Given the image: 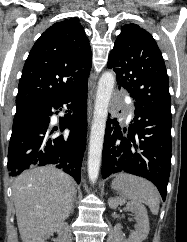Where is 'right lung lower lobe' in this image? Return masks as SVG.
I'll use <instances>...</instances> for the list:
<instances>
[{
  "mask_svg": "<svg viewBox=\"0 0 187 242\" xmlns=\"http://www.w3.org/2000/svg\"><path fill=\"white\" fill-rule=\"evenodd\" d=\"M87 83L65 93L17 109L8 149V170L12 177L24 170L54 164L80 183V172L87 136ZM61 131L51 135L50 116L54 109L62 110ZM58 113V111L56 112ZM57 129V128H56Z\"/></svg>",
  "mask_w": 187,
  "mask_h": 242,
  "instance_id": "1",
  "label": "right lung lower lobe"
}]
</instances>
